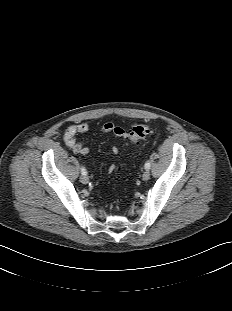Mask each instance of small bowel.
I'll return each mask as SVG.
<instances>
[{
  "label": "small bowel",
  "mask_w": 232,
  "mask_h": 311,
  "mask_svg": "<svg viewBox=\"0 0 232 311\" xmlns=\"http://www.w3.org/2000/svg\"><path fill=\"white\" fill-rule=\"evenodd\" d=\"M89 128L90 125L87 122L70 125L63 135L65 145L76 154L87 155L89 149L77 140V136L87 132ZM101 131L103 134L113 133L118 137L124 136L125 134V130L122 127L115 126L112 122L105 123ZM112 153L117 154L118 149L114 147Z\"/></svg>",
  "instance_id": "1"
}]
</instances>
